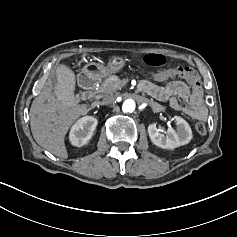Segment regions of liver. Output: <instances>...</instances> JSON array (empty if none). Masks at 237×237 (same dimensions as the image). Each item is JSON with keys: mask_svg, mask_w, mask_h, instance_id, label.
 Here are the masks:
<instances>
[{"mask_svg": "<svg viewBox=\"0 0 237 237\" xmlns=\"http://www.w3.org/2000/svg\"><path fill=\"white\" fill-rule=\"evenodd\" d=\"M78 99L71 107L59 102L48 92H41L30 109V126L37 144L52 154L67 158L64 138L70 126L87 113L86 105L78 104Z\"/></svg>", "mask_w": 237, "mask_h": 237, "instance_id": "1", "label": "liver"}]
</instances>
